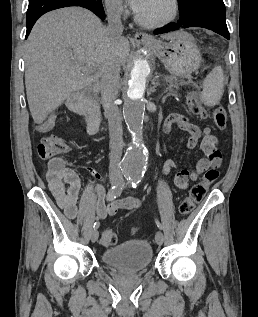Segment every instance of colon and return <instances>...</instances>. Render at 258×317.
Wrapping results in <instances>:
<instances>
[{
  "label": "colon",
  "mask_w": 258,
  "mask_h": 317,
  "mask_svg": "<svg viewBox=\"0 0 258 317\" xmlns=\"http://www.w3.org/2000/svg\"><path fill=\"white\" fill-rule=\"evenodd\" d=\"M188 105L191 112L200 117L206 118L207 111L202 106L198 94L191 93L188 96ZM213 121L220 130H225L228 126V117L226 112L218 108L213 112ZM70 151V146L61 138L55 135H49L40 141L36 148L37 155L40 159L46 160L66 154ZM219 171L217 167L211 166L206 169L201 182L195 184L187 197H185L179 206V212L182 215L190 214L196 205L204 198L209 185L217 179ZM100 242L104 246H113L117 242V236L112 229H104L101 234Z\"/></svg>",
  "instance_id": "5ec220e1"
}]
</instances>
